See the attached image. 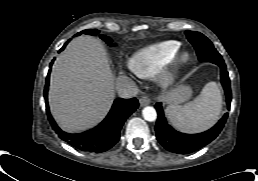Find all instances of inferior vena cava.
<instances>
[{"label":"inferior vena cava","instance_id":"602c4592","mask_svg":"<svg viewBox=\"0 0 258 181\" xmlns=\"http://www.w3.org/2000/svg\"><path fill=\"white\" fill-rule=\"evenodd\" d=\"M117 93L122 98H132L138 94V87L136 83L127 76H120L117 79Z\"/></svg>","mask_w":258,"mask_h":181}]
</instances>
